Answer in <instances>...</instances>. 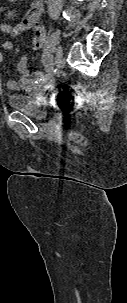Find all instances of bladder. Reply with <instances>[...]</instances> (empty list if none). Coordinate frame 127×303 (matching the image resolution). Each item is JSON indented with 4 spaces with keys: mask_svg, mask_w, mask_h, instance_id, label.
Here are the masks:
<instances>
[{
    "mask_svg": "<svg viewBox=\"0 0 127 303\" xmlns=\"http://www.w3.org/2000/svg\"><path fill=\"white\" fill-rule=\"evenodd\" d=\"M7 103L16 111L22 112L35 119L46 117V103L35 94H11L7 97Z\"/></svg>",
    "mask_w": 127,
    "mask_h": 303,
    "instance_id": "1",
    "label": "bladder"
}]
</instances>
